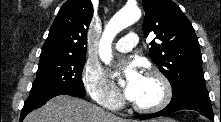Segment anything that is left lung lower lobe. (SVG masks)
Listing matches in <instances>:
<instances>
[{
	"label": "left lung lower lobe",
	"mask_w": 221,
	"mask_h": 122,
	"mask_svg": "<svg viewBox=\"0 0 221 122\" xmlns=\"http://www.w3.org/2000/svg\"><path fill=\"white\" fill-rule=\"evenodd\" d=\"M182 109L198 111L210 120H214L211 101L206 88L187 89L180 95L172 97V101L170 102V104L163 110L153 114L140 115L138 116V119H150L158 116L167 115Z\"/></svg>",
	"instance_id": "1"
}]
</instances>
